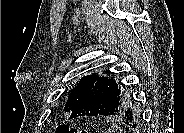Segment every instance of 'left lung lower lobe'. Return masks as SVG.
I'll use <instances>...</instances> for the list:
<instances>
[{"label": "left lung lower lobe", "instance_id": "obj_1", "mask_svg": "<svg viewBox=\"0 0 184 133\" xmlns=\"http://www.w3.org/2000/svg\"><path fill=\"white\" fill-rule=\"evenodd\" d=\"M95 84L89 94L74 108L71 118L78 116H109L119 118L135 128L138 119L132 112L133 92L127 91L113 78L95 75Z\"/></svg>", "mask_w": 184, "mask_h": 133}]
</instances>
